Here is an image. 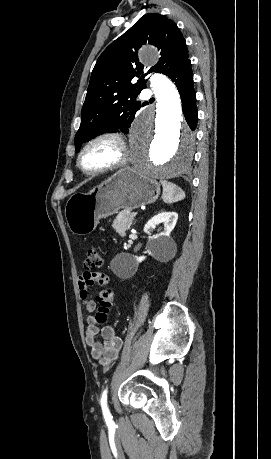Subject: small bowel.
I'll return each mask as SVG.
<instances>
[{
    "mask_svg": "<svg viewBox=\"0 0 271 459\" xmlns=\"http://www.w3.org/2000/svg\"><path fill=\"white\" fill-rule=\"evenodd\" d=\"M109 282L107 274L103 271H86L79 277V296L84 309L91 313L96 308V303L89 297L88 290L91 286H101ZM86 343L90 348L91 356L103 366H110L115 362L121 352L123 341L111 326L100 327L93 315H87Z\"/></svg>",
    "mask_w": 271,
    "mask_h": 459,
    "instance_id": "obj_1",
    "label": "small bowel"
}]
</instances>
